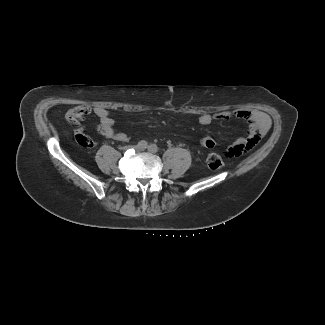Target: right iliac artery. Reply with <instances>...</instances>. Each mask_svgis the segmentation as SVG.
I'll return each mask as SVG.
<instances>
[{
	"mask_svg": "<svg viewBox=\"0 0 325 325\" xmlns=\"http://www.w3.org/2000/svg\"><path fill=\"white\" fill-rule=\"evenodd\" d=\"M137 146L141 149H145L147 148V142L145 140H141Z\"/></svg>",
	"mask_w": 325,
	"mask_h": 325,
	"instance_id": "1",
	"label": "right iliac artery"
}]
</instances>
